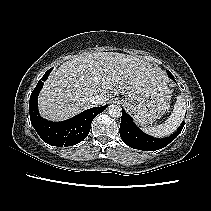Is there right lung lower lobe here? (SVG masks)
Wrapping results in <instances>:
<instances>
[{
  "mask_svg": "<svg viewBox=\"0 0 211 211\" xmlns=\"http://www.w3.org/2000/svg\"><path fill=\"white\" fill-rule=\"evenodd\" d=\"M51 70L52 68L44 74L41 80H39L30 96L29 111L31 124L41 139L47 144L58 147L72 146L85 139L90 131L94 117L105 110L108 105L90 108L75 117L62 122H52L43 119L38 111L37 98L43 87V82L47 79Z\"/></svg>",
  "mask_w": 211,
  "mask_h": 211,
  "instance_id": "98d812e1",
  "label": "right lung lower lobe"
}]
</instances>
